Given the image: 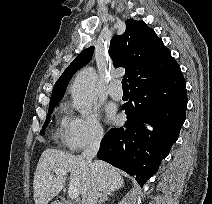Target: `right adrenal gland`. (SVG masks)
<instances>
[{"label":"right adrenal gland","instance_id":"2a0ac1e0","mask_svg":"<svg viewBox=\"0 0 212 204\" xmlns=\"http://www.w3.org/2000/svg\"><path fill=\"white\" fill-rule=\"evenodd\" d=\"M111 196H112V193H106V192L101 193L99 196L98 204H102L105 201H108Z\"/></svg>","mask_w":212,"mask_h":204}]
</instances>
